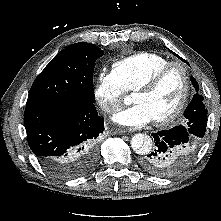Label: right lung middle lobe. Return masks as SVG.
Masks as SVG:
<instances>
[{
    "mask_svg": "<svg viewBox=\"0 0 221 221\" xmlns=\"http://www.w3.org/2000/svg\"><path fill=\"white\" fill-rule=\"evenodd\" d=\"M103 51L79 42L63 49L35 79L26 105L51 102H92L95 61Z\"/></svg>",
    "mask_w": 221,
    "mask_h": 221,
    "instance_id": "dd1d6c3e",
    "label": "right lung middle lobe"
}]
</instances>
